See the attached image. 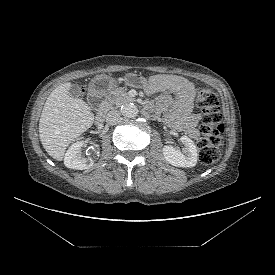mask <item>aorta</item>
<instances>
[{"label":"aorta","instance_id":"obj_1","mask_svg":"<svg viewBox=\"0 0 275 275\" xmlns=\"http://www.w3.org/2000/svg\"><path fill=\"white\" fill-rule=\"evenodd\" d=\"M121 112L127 118H134L138 114V108L133 103H127L121 107Z\"/></svg>","mask_w":275,"mask_h":275}]
</instances>
